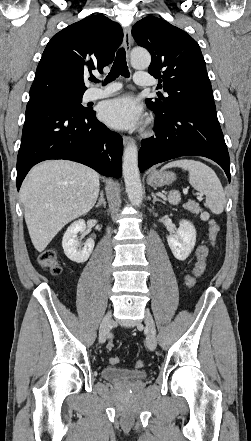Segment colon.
<instances>
[{"label":"colon","instance_id":"colon-1","mask_svg":"<svg viewBox=\"0 0 251 441\" xmlns=\"http://www.w3.org/2000/svg\"><path fill=\"white\" fill-rule=\"evenodd\" d=\"M220 232V227L214 220L209 221V239L212 244H215L217 237ZM39 264L49 270L52 274L58 275L61 272V267L57 260V254L53 249H48L42 252L38 258ZM194 278L192 276H188L186 278V285L188 287H192L194 285ZM114 348L113 341L108 342L107 349L112 350ZM109 362L112 365H116L119 363V358L114 356L109 359ZM144 365L143 361L138 360L134 363L135 368H142Z\"/></svg>","mask_w":251,"mask_h":441}]
</instances>
